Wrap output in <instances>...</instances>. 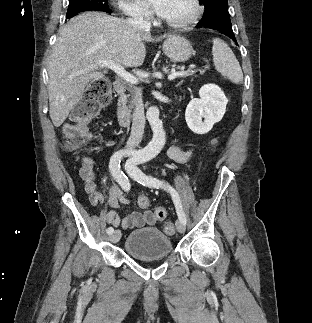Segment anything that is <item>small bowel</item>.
<instances>
[{"instance_id": "c3829d8e", "label": "small bowel", "mask_w": 312, "mask_h": 323, "mask_svg": "<svg viewBox=\"0 0 312 323\" xmlns=\"http://www.w3.org/2000/svg\"><path fill=\"white\" fill-rule=\"evenodd\" d=\"M167 154L170 159L178 163H187L191 158L192 151L191 149L184 150L179 147L172 146L168 149ZM79 173L90 203L92 205H100L103 209L107 206L113 208L112 210L105 211V219L110 225L121 227L124 230H130L144 226H154L156 224L159 219L157 217L156 210H146L143 213L132 212L125 218L121 219L117 210L120 209L122 205L126 204V200L122 197L116 186H110L108 188L107 196H104L97 189L95 183L96 173L93 161L90 158L83 159Z\"/></svg>"}]
</instances>
